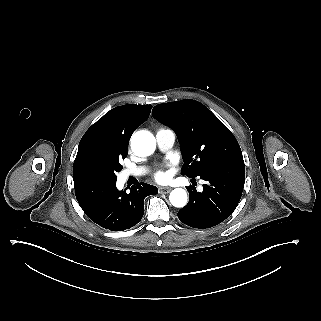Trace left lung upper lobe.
Listing matches in <instances>:
<instances>
[{"label":"left lung upper lobe","mask_w":321,"mask_h":321,"mask_svg":"<svg viewBox=\"0 0 321 321\" xmlns=\"http://www.w3.org/2000/svg\"><path fill=\"white\" fill-rule=\"evenodd\" d=\"M152 114L178 137L184 161L182 175L196 177L211 164L242 158L234 135L198 101L187 99L159 104Z\"/></svg>","instance_id":"left-lung-upper-lobe-1"}]
</instances>
